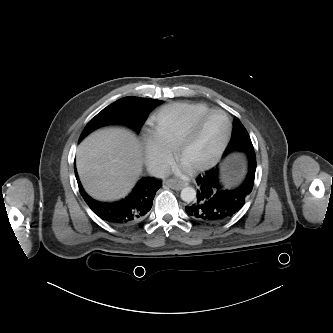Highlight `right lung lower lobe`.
<instances>
[{"label": "right lung lower lobe", "mask_w": 333, "mask_h": 333, "mask_svg": "<svg viewBox=\"0 0 333 333\" xmlns=\"http://www.w3.org/2000/svg\"><path fill=\"white\" fill-rule=\"evenodd\" d=\"M74 169L79 191L88 206L101 219L117 226L133 225L141 221L151 209L155 193L162 187L161 180L145 177L137 183L125 199L114 203L98 202L86 194L80 184L75 166Z\"/></svg>", "instance_id": "right-lung-lower-lobe-1"}]
</instances>
